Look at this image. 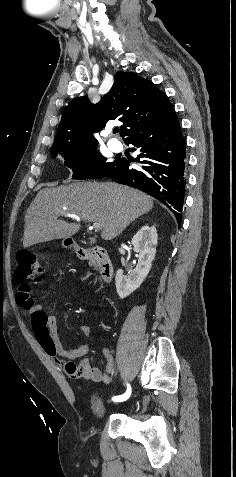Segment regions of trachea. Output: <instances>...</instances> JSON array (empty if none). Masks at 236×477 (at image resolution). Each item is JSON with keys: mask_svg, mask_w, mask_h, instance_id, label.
<instances>
[{"mask_svg": "<svg viewBox=\"0 0 236 477\" xmlns=\"http://www.w3.org/2000/svg\"><path fill=\"white\" fill-rule=\"evenodd\" d=\"M119 132V127L114 128L113 133H118Z\"/></svg>", "mask_w": 236, "mask_h": 477, "instance_id": "trachea-1", "label": "trachea"}]
</instances>
